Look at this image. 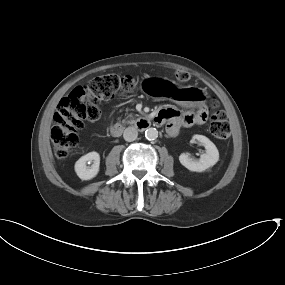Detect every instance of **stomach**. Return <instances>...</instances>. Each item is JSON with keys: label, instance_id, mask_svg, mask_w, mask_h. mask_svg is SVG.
<instances>
[{"label": "stomach", "instance_id": "obj_1", "mask_svg": "<svg viewBox=\"0 0 285 285\" xmlns=\"http://www.w3.org/2000/svg\"><path fill=\"white\" fill-rule=\"evenodd\" d=\"M164 84L170 90L171 99L178 105L186 108H194L203 103L205 95L201 90L193 86L180 87L175 82L162 78L146 77L142 87L147 93H152L153 87Z\"/></svg>", "mask_w": 285, "mask_h": 285}]
</instances>
